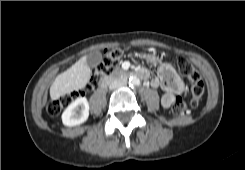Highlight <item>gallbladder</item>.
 <instances>
[{"mask_svg":"<svg viewBox=\"0 0 245 170\" xmlns=\"http://www.w3.org/2000/svg\"><path fill=\"white\" fill-rule=\"evenodd\" d=\"M102 59V55L99 51L90 52L86 58V64L89 67H96Z\"/></svg>","mask_w":245,"mask_h":170,"instance_id":"obj_1","label":"gallbladder"}]
</instances>
